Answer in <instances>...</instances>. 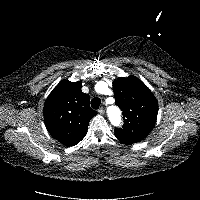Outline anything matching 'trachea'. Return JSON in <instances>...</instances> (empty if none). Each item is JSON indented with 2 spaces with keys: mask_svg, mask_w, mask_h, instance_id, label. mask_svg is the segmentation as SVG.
I'll return each mask as SVG.
<instances>
[{
  "mask_svg": "<svg viewBox=\"0 0 200 200\" xmlns=\"http://www.w3.org/2000/svg\"><path fill=\"white\" fill-rule=\"evenodd\" d=\"M100 104H101V100H100V98H98V97H94V98L91 100V107H92L93 109H95V110L99 108Z\"/></svg>",
  "mask_w": 200,
  "mask_h": 200,
  "instance_id": "trachea-1",
  "label": "trachea"
}]
</instances>
